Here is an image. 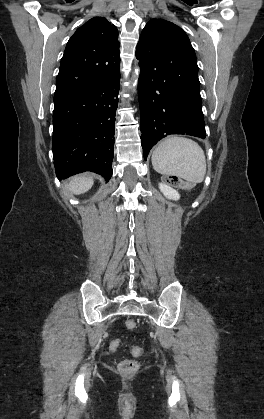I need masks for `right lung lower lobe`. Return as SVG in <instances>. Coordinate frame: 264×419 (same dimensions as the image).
I'll return each mask as SVG.
<instances>
[{"label":"right lung lower lobe","instance_id":"obj_1","mask_svg":"<svg viewBox=\"0 0 264 419\" xmlns=\"http://www.w3.org/2000/svg\"><path fill=\"white\" fill-rule=\"evenodd\" d=\"M120 71L106 81L54 95L52 150L57 178L113 170Z\"/></svg>","mask_w":264,"mask_h":419}]
</instances>
